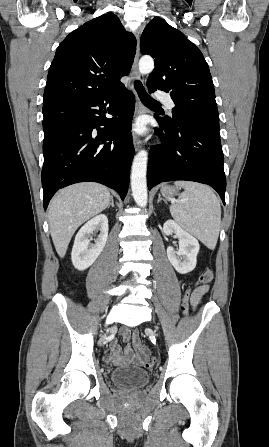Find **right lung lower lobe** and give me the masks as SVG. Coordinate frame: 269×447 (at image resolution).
<instances>
[{
    "instance_id": "right-lung-lower-lobe-1",
    "label": "right lung lower lobe",
    "mask_w": 269,
    "mask_h": 447,
    "mask_svg": "<svg viewBox=\"0 0 269 447\" xmlns=\"http://www.w3.org/2000/svg\"><path fill=\"white\" fill-rule=\"evenodd\" d=\"M107 105L111 119L105 117ZM134 107L135 97L123 84L107 92L44 102V209L58 189L83 181L102 183L125 198L134 156Z\"/></svg>"
}]
</instances>
